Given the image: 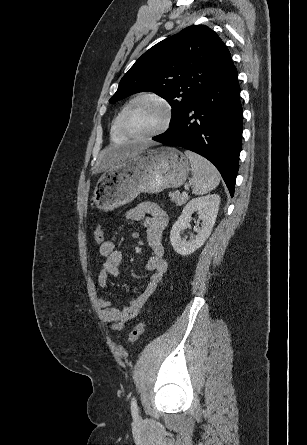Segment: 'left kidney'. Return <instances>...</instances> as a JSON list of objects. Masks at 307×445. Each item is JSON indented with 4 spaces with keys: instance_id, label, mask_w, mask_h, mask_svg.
<instances>
[{
    "instance_id": "1",
    "label": "left kidney",
    "mask_w": 307,
    "mask_h": 445,
    "mask_svg": "<svg viewBox=\"0 0 307 445\" xmlns=\"http://www.w3.org/2000/svg\"><path fill=\"white\" fill-rule=\"evenodd\" d=\"M219 204V194H206V196H198V198H192V200L187 202L182 210L181 216H179L176 223H174L170 233L171 245L178 255L187 257V255H191V253H195L197 249H200L203 243L207 241L214 227ZM196 210L199 218L203 220L202 227L201 229H197L196 237H191V239L187 241V239H183L182 231H185L186 227H189V220Z\"/></svg>"
}]
</instances>
